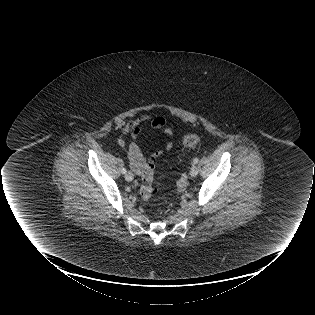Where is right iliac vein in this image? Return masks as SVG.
Wrapping results in <instances>:
<instances>
[{"instance_id":"1","label":"right iliac vein","mask_w":315,"mask_h":315,"mask_svg":"<svg viewBox=\"0 0 315 315\" xmlns=\"http://www.w3.org/2000/svg\"><path fill=\"white\" fill-rule=\"evenodd\" d=\"M125 178L127 181L131 182L134 178V175L131 171L127 172L126 175H125Z\"/></svg>"}]
</instances>
